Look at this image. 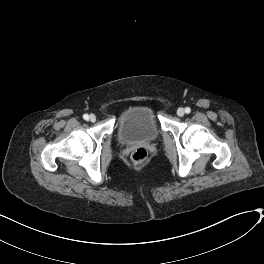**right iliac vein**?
I'll use <instances>...</instances> for the list:
<instances>
[{
  "label": "right iliac vein",
  "mask_w": 264,
  "mask_h": 264,
  "mask_svg": "<svg viewBox=\"0 0 264 264\" xmlns=\"http://www.w3.org/2000/svg\"><path fill=\"white\" fill-rule=\"evenodd\" d=\"M89 120H90L91 122H95V121H96V116L93 115V114H91L90 117H89Z\"/></svg>",
  "instance_id": "63e3f726"
}]
</instances>
